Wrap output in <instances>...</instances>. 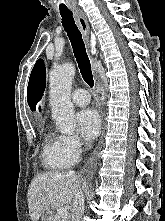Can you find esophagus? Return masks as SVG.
Returning a JSON list of instances; mask_svg holds the SVG:
<instances>
[{
    "mask_svg": "<svg viewBox=\"0 0 165 221\" xmlns=\"http://www.w3.org/2000/svg\"><path fill=\"white\" fill-rule=\"evenodd\" d=\"M73 13H74L76 21L79 25V28L82 32L83 38L86 42L87 48L89 50L91 61L94 62L95 61V56L92 52L93 44H92V40L90 38V27H89V23H88V20L86 18V15L80 9H74Z\"/></svg>",
    "mask_w": 165,
    "mask_h": 221,
    "instance_id": "esophagus-1",
    "label": "esophagus"
}]
</instances>
